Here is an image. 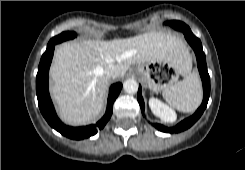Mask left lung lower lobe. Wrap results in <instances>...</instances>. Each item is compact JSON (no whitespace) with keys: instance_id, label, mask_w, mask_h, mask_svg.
<instances>
[{"instance_id":"left-lung-lower-lobe-1","label":"left lung lower lobe","mask_w":245,"mask_h":170,"mask_svg":"<svg viewBox=\"0 0 245 170\" xmlns=\"http://www.w3.org/2000/svg\"><path fill=\"white\" fill-rule=\"evenodd\" d=\"M179 27L181 29L180 31L184 33L186 40L188 41L190 46L193 48L196 54L197 65H198L199 73H200L202 84H203L204 98H203V102L201 106L198 108L195 114L181 121L177 126L168 128L161 124H155V127L158 130L162 132H166V133H178V132L184 131L188 129L189 127H191L200 118V116L204 112L207 106L208 100H209V96H210V77L207 71L206 59H205V54L202 49L201 41L197 37L194 36V34L191 32L190 28L186 24L182 23L181 25H179ZM137 99L140 104L141 111L143 113L144 112V101L141 95V86H139Z\"/></svg>"}]
</instances>
